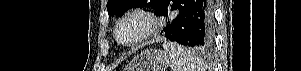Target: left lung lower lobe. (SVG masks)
I'll use <instances>...</instances> for the list:
<instances>
[{
    "mask_svg": "<svg viewBox=\"0 0 301 71\" xmlns=\"http://www.w3.org/2000/svg\"><path fill=\"white\" fill-rule=\"evenodd\" d=\"M157 15L169 19L162 31L168 40L200 49L212 46V0H165Z\"/></svg>",
    "mask_w": 301,
    "mask_h": 71,
    "instance_id": "1",
    "label": "left lung lower lobe"
}]
</instances>
